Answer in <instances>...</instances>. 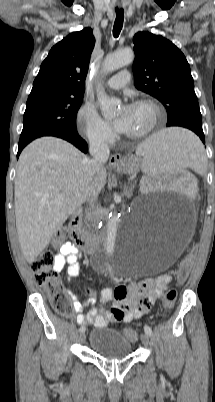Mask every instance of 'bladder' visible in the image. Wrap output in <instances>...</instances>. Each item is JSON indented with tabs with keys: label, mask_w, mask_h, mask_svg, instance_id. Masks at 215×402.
Returning a JSON list of instances; mask_svg holds the SVG:
<instances>
[{
	"label": "bladder",
	"mask_w": 215,
	"mask_h": 402,
	"mask_svg": "<svg viewBox=\"0 0 215 402\" xmlns=\"http://www.w3.org/2000/svg\"><path fill=\"white\" fill-rule=\"evenodd\" d=\"M89 347L97 356L113 360L131 355L132 343L119 331L108 327H99L91 331Z\"/></svg>",
	"instance_id": "obj_1"
}]
</instances>
